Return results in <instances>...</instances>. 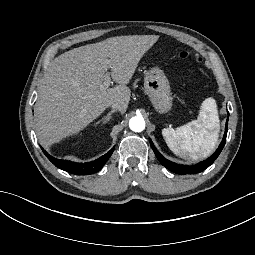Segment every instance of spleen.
Here are the masks:
<instances>
[{
  "label": "spleen",
  "mask_w": 255,
  "mask_h": 255,
  "mask_svg": "<svg viewBox=\"0 0 255 255\" xmlns=\"http://www.w3.org/2000/svg\"><path fill=\"white\" fill-rule=\"evenodd\" d=\"M202 122L193 120L175 129H163L162 136L176 155H185L188 151L193 159L207 157L213 150L218 133L219 119L216 103L212 98H207L201 106Z\"/></svg>",
  "instance_id": "1"
}]
</instances>
